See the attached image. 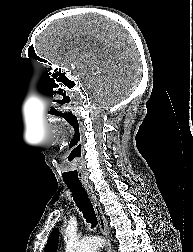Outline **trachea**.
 <instances>
[{"instance_id": "obj_1", "label": "trachea", "mask_w": 193, "mask_h": 252, "mask_svg": "<svg viewBox=\"0 0 193 252\" xmlns=\"http://www.w3.org/2000/svg\"><path fill=\"white\" fill-rule=\"evenodd\" d=\"M67 186L72 192L73 199L79 210L83 213L86 222L91 224V227L94 228L97 225L96 214L83 186L81 184L70 183H67Z\"/></svg>"}]
</instances>
